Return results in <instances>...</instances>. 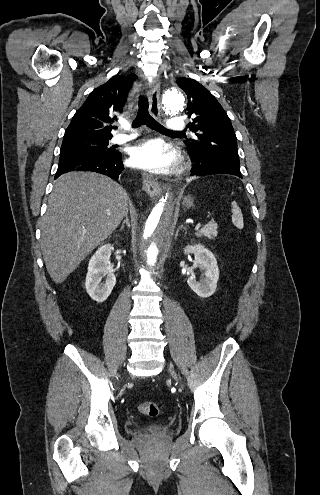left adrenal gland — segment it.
Segmentation results:
<instances>
[{
    "label": "left adrenal gland",
    "instance_id": "1",
    "mask_svg": "<svg viewBox=\"0 0 320 495\" xmlns=\"http://www.w3.org/2000/svg\"><path fill=\"white\" fill-rule=\"evenodd\" d=\"M184 229L183 225H180L179 228L176 231V237L178 236V233L180 230Z\"/></svg>",
    "mask_w": 320,
    "mask_h": 495
}]
</instances>
